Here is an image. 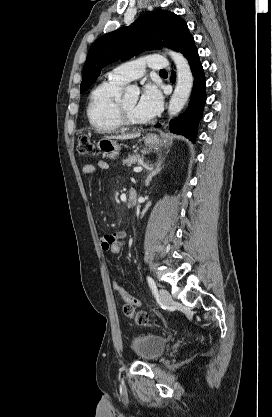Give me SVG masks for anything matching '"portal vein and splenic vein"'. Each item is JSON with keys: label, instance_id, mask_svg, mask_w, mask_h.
Returning <instances> with one entry per match:
<instances>
[{"label": "portal vein and splenic vein", "instance_id": "18ae733b", "mask_svg": "<svg viewBox=\"0 0 272 417\" xmlns=\"http://www.w3.org/2000/svg\"><path fill=\"white\" fill-rule=\"evenodd\" d=\"M134 172H141L142 170H143V168L142 167H135L134 169Z\"/></svg>", "mask_w": 272, "mask_h": 417}]
</instances>
